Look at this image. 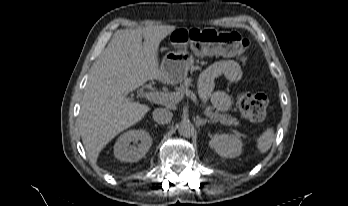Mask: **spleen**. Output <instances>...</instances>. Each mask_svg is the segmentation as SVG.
Listing matches in <instances>:
<instances>
[{
	"label": "spleen",
	"instance_id": "spleen-1",
	"mask_svg": "<svg viewBox=\"0 0 348 206\" xmlns=\"http://www.w3.org/2000/svg\"><path fill=\"white\" fill-rule=\"evenodd\" d=\"M274 141V129L267 128L257 139V148L260 153L267 152Z\"/></svg>",
	"mask_w": 348,
	"mask_h": 206
}]
</instances>
